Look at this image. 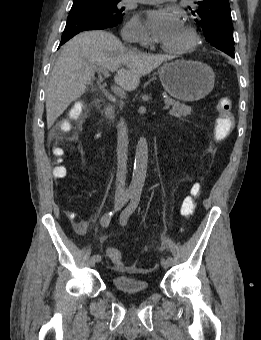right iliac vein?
Wrapping results in <instances>:
<instances>
[{
	"label": "right iliac vein",
	"mask_w": 261,
	"mask_h": 340,
	"mask_svg": "<svg viewBox=\"0 0 261 340\" xmlns=\"http://www.w3.org/2000/svg\"><path fill=\"white\" fill-rule=\"evenodd\" d=\"M121 202H122L121 200H117V201L115 202L116 206H120V205H121ZM95 264H96V262H95L93 256L90 257V258L88 259V266H89V267H94Z\"/></svg>",
	"instance_id": "obj_1"
}]
</instances>
